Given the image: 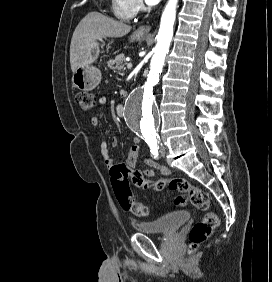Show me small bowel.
I'll use <instances>...</instances> for the list:
<instances>
[{
	"mask_svg": "<svg viewBox=\"0 0 272 282\" xmlns=\"http://www.w3.org/2000/svg\"><path fill=\"white\" fill-rule=\"evenodd\" d=\"M100 103L101 104H105L106 103V98H101L100 99ZM91 125L93 127H97L100 124V118L98 116H93L91 118L90 121ZM111 146L113 147H117L118 146V140L116 138H113L110 141ZM140 145H141V139L139 137H135L133 139V145L129 151V155L127 160L122 164L123 166H125L126 168H128L129 170L135 165L136 163V159H137V155L138 152L140 150ZM109 143L106 140L101 141L100 143V150H101V155L103 158L104 163L110 167L113 165L114 159L113 157L110 155L109 153V149H108ZM143 163L145 165H148L150 168H146L143 170V174L146 177H152L155 173V170L160 171L162 174L167 175L169 173L168 169L164 166H161L160 164L150 160L149 158L145 157L143 159ZM164 179H159V180H155V181H148V183L143 186V187H139L141 189H153L155 191H161L165 188L166 184L163 182Z\"/></svg>",
	"mask_w": 272,
	"mask_h": 282,
	"instance_id": "obj_1",
	"label": "small bowel"
}]
</instances>
